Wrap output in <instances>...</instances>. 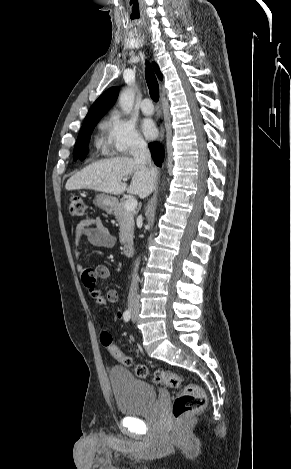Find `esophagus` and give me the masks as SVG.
I'll return each mask as SVG.
<instances>
[{
    "mask_svg": "<svg viewBox=\"0 0 291 469\" xmlns=\"http://www.w3.org/2000/svg\"><path fill=\"white\" fill-rule=\"evenodd\" d=\"M164 136H165V128H164L163 124H161V126H160V134H159L158 140H159L160 142L163 141Z\"/></svg>",
    "mask_w": 291,
    "mask_h": 469,
    "instance_id": "esophagus-1",
    "label": "esophagus"
}]
</instances>
